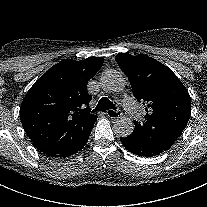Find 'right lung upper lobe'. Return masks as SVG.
<instances>
[{
    "mask_svg": "<svg viewBox=\"0 0 207 207\" xmlns=\"http://www.w3.org/2000/svg\"><path fill=\"white\" fill-rule=\"evenodd\" d=\"M104 59L63 60L51 67L27 92L20 119L24 131L44 154L55 157L77 144L97 117L88 107V81Z\"/></svg>",
    "mask_w": 207,
    "mask_h": 207,
    "instance_id": "1",
    "label": "right lung upper lobe"
}]
</instances>
